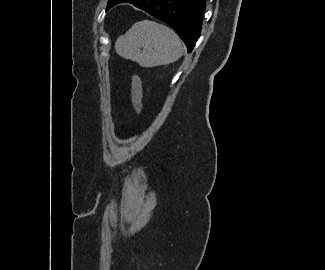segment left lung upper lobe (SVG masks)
<instances>
[{
  "label": "left lung upper lobe",
  "mask_w": 325,
  "mask_h": 270,
  "mask_svg": "<svg viewBox=\"0 0 325 270\" xmlns=\"http://www.w3.org/2000/svg\"><path fill=\"white\" fill-rule=\"evenodd\" d=\"M118 1H119V0H108L107 10H109V9L112 8L114 5H116Z\"/></svg>",
  "instance_id": "left-lung-upper-lobe-1"
}]
</instances>
